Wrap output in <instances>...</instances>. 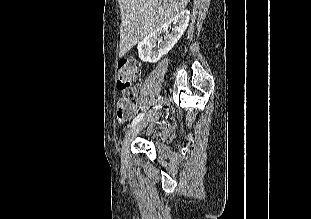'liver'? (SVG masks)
I'll list each match as a JSON object with an SVG mask.
<instances>
[{"label": "liver", "instance_id": "obj_1", "mask_svg": "<svg viewBox=\"0 0 311 219\" xmlns=\"http://www.w3.org/2000/svg\"><path fill=\"white\" fill-rule=\"evenodd\" d=\"M189 0H119L121 9L120 52L124 56L147 35L165 25Z\"/></svg>", "mask_w": 311, "mask_h": 219}]
</instances>
